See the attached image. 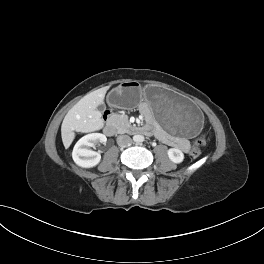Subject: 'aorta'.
Listing matches in <instances>:
<instances>
[{
  "label": "aorta",
  "instance_id": "aorta-1",
  "mask_svg": "<svg viewBox=\"0 0 264 264\" xmlns=\"http://www.w3.org/2000/svg\"><path fill=\"white\" fill-rule=\"evenodd\" d=\"M143 139H144V137H143L142 135H135V136L133 137V140H134L135 142H137V143L142 142Z\"/></svg>",
  "mask_w": 264,
  "mask_h": 264
}]
</instances>
